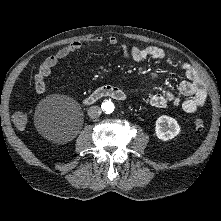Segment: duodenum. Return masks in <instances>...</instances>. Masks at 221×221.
Segmentation results:
<instances>
[{
    "label": "duodenum",
    "instance_id": "1",
    "mask_svg": "<svg viewBox=\"0 0 221 221\" xmlns=\"http://www.w3.org/2000/svg\"><path fill=\"white\" fill-rule=\"evenodd\" d=\"M104 97H111L118 101H124L126 99V94L119 87L105 85L96 89L89 96H87L84 100V103L88 105L93 104L97 100L104 98Z\"/></svg>",
    "mask_w": 221,
    "mask_h": 221
}]
</instances>
